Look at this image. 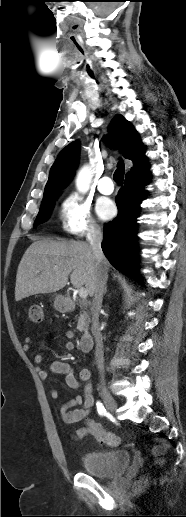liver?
I'll use <instances>...</instances> for the list:
<instances>
[{
	"instance_id": "1",
	"label": "liver",
	"mask_w": 186,
	"mask_h": 517,
	"mask_svg": "<svg viewBox=\"0 0 186 517\" xmlns=\"http://www.w3.org/2000/svg\"><path fill=\"white\" fill-rule=\"evenodd\" d=\"M109 263L105 259V268ZM96 261L91 246L80 241L39 240L24 253L17 270L15 300L35 294L56 292L70 280L73 286L85 285L94 295Z\"/></svg>"
}]
</instances>
